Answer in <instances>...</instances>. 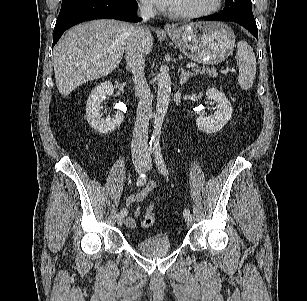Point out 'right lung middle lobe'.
I'll list each match as a JSON object with an SVG mask.
<instances>
[{
	"mask_svg": "<svg viewBox=\"0 0 307 301\" xmlns=\"http://www.w3.org/2000/svg\"><path fill=\"white\" fill-rule=\"evenodd\" d=\"M71 1V0H62V2Z\"/></svg>",
	"mask_w": 307,
	"mask_h": 301,
	"instance_id": "obj_1",
	"label": "right lung middle lobe"
}]
</instances>
